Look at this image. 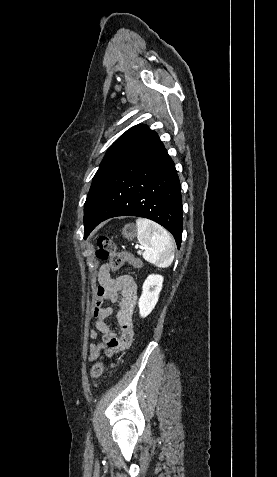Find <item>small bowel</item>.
I'll use <instances>...</instances> for the list:
<instances>
[{
	"label": "small bowel",
	"instance_id": "small-bowel-1",
	"mask_svg": "<svg viewBox=\"0 0 277 477\" xmlns=\"http://www.w3.org/2000/svg\"><path fill=\"white\" fill-rule=\"evenodd\" d=\"M98 287L93 297L92 315L95 321V329H90L88 335L91 339L101 340L92 343L88 347V360L95 362L103 359L102 353L106 349L123 350L130 346L134 338L133 313L137 301V284L128 275L112 277L108 264H103L98 273ZM119 302L117 312V336L108 325L106 320L112 315L113 308L105 307L104 302Z\"/></svg>",
	"mask_w": 277,
	"mask_h": 477
}]
</instances>
